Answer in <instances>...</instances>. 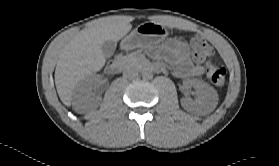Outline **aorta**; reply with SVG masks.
Listing matches in <instances>:
<instances>
[{
	"label": "aorta",
	"mask_w": 279,
	"mask_h": 166,
	"mask_svg": "<svg viewBox=\"0 0 279 166\" xmlns=\"http://www.w3.org/2000/svg\"><path fill=\"white\" fill-rule=\"evenodd\" d=\"M142 77H143V79L150 80L153 78V73L149 69H144L142 71Z\"/></svg>",
	"instance_id": "obj_1"
}]
</instances>
